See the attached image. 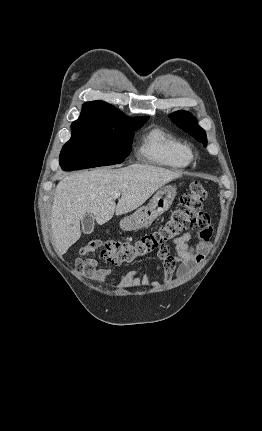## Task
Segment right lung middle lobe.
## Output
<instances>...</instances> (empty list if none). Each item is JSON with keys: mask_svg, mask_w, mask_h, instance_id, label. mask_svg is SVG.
Here are the masks:
<instances>
[{"mask_svg": "<svg viewBox=\"0 0 262 431\" xmlns=\"http://www.w3.org/2000/svg\"><path fill=\"white\" fill-rule=\"evenodd\" d=\"M147 120L148 117H139L72 124L71 139L60 153L61 168L70 171L122 163L131 151L134 131Z\"/></svg>", "mask_w": 262, "mask_h": 431, "instance_id": "1", "label": "right lung middle lobe"}]
</instances>
